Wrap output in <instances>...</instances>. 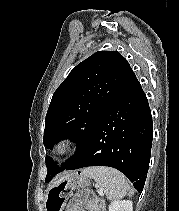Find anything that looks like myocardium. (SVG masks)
I'll use <instances>...</instances> for the list:
<instances>
[{
  "label": "myocardium",
  "instance_id": "obj_1",
  "mask_svg": "<svg viewBox=\"0 0 179 211\" xmlns=\"http://www.w3.org/2000/svg\"><path fill=\"white\" fill-rule=\"evenodd\" d=\"M74 146V140L71 137H64L59 139L52 148V155L57 159L66 157Z\"/></svg>",
  "mask_w": 179,
  "mask_h": 211
}]
</instances>
